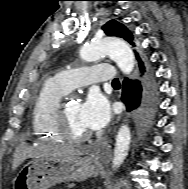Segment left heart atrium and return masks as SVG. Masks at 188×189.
Instances as JSON below:
<instances>
[{
  "label": "left heart atrium",
  "mask_w": 188,
  "mask_h": 189,
  "mask_svg": "<svg viewBox=\"0 0 188 189\" xmlns=\"http://www.w3.org/2000/svg\"><path fill=\"white\" fill-rule=\"evenodd\" d=\"M80 117L89 130L104 128L110 119L109 101L100 91H90L81 105Z\"/></svg>",
  "instance_id": "obj_1"
}]
</instances>
